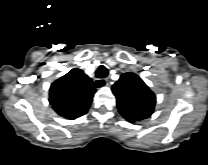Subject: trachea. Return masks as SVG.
Returning a JSON list of instances; mask_svg holds the SVG:
<instances>
[{
	"instance_id": "1",
	"label": "trachea",
	"mask_w": 208,
	"mask_h": 165,
	"mask_svg": "<svg viewBox=\"0 0 208 165\" xmlns=\"http://www.w3.org/2000/svg\"><path fill=\"white\" fill-rule=\"evenodd\" d=\"M107 75H108V70L104 65H101L96 71L97 78H105ZM96 85H97V87L101 86L98 83Z\"/></svg>"
}]
</instances>
